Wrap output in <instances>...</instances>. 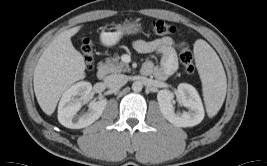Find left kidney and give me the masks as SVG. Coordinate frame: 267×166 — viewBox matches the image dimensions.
<instances>
[{"instance_id": "1", "label": "left kidney", "mask_w": 267, "mask_h": 166, "mask_svg": "<svg viewBox=\"0 0 267 166\" xmlns=\"http://www.w3.org/2000/svg\"><path fill=\"white\" fill-rule=\"evenodd\" d=\"M178 99L188 109L182 113L175 112L174 94L161 90L157 95L160 111L164 118L177 127H192L204 118V108L197 90L190 84L181 83L177 87Z\"/></svg>"}]
</instances>
